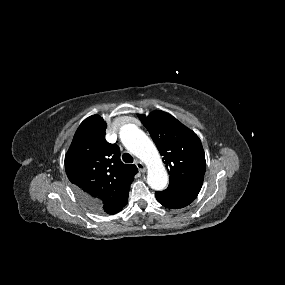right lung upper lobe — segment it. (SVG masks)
Returning a JSON list of instances; mask_svg holds the SVG:
<instances>
[{"label": "right lung upper lobe", "mask_w": 285, "mask_h": 285, "mask_svg": "<svg viewBox=\"0 0 285 285\" xmlns=\"http://www.w3.org/2000/svg\"><path fill=\"white\" fill-rule=\"evenodd\" d=\"M106 123L93 115L78 127L65 170L81 201L98 213L116 214L127 204L137 167L123 164L120 148L105 140Z\"/></svg>", "instance_id": "1"}]
</instances>
